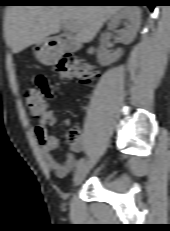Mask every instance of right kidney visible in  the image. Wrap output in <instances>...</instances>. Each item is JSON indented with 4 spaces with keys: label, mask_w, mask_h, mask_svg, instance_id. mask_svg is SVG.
I'll list each match as a JSON object with an SVG mask.
<instances>
[{
    "label": "right kidney",
    "mask_w": 170,
    "mask_h": 231,
    "mask_svg": "<svg viewBox=\"0 0 170 231\" xmlns=\"http://www.w3.org/2000/svg\"><path fill=\"white\" fill-rule=\"evenodd\" d=\"M121 21H125L127 27L125 30L119 32V40L124 44H130L139 30L141 23V11L138 7H124L118 11L110 20L108 24V30H115ZM108 40V34H102L100 38V47L98 50V62L102 66L109 65L117 61L123 51L122 49H117L115 52L110 53L105 51V45Z\"/></svg>",
    "instance_id": "1"
}]
</instances>
